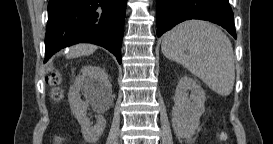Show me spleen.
I'll list each match as a JSON object with an SVG mask.
<instances>
[{"label":"spleen","instance_id":"3e777b00","mask_svg":"<svg viewBox=\"0 0 273 144\" xmlns=\"http://www.w3.org/2000/svg\"><path fill=\"white\" fill-rule=\"evenodd\" d=\"M161 49L166 58L183 65L219 95L232 92L235 80L232 44L212 23L189 20L177 25L165 33Z\"/></svg>","mask_w":273,"mask_h":144}]
</instances>
